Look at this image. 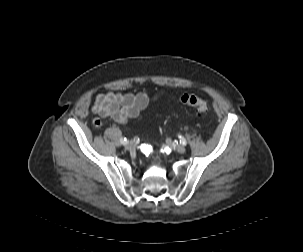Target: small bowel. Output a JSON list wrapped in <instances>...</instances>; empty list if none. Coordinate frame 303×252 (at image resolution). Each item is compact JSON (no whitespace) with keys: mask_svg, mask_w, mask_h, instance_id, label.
<instances>
[{"mask_svg":"<svg viewBox=\"0 0 303 252\" xmlns=\"http://www.w3.org/2000/svg\"><path fill=\"white\" fill-rule=\"evenodd\" d=\"M163 96V91H158L154 95L146 92L108 91L97 95L93 111L103 118H111L124 124L130 120L139 119L143 110Z\"/></svg>","mask_w":303,"mask_h":252,"instance_id":"obj_1","label":"small bowel"}]
</instances>
